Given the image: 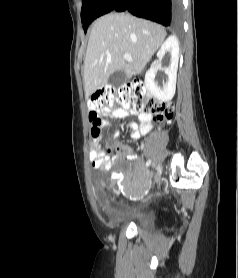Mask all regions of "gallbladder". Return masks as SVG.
Here are the masks:
<instances>
[{
  "label": "gallbladder",
  "instance_id": "bac80fb5",
  "mask_svg": "<svg viewBox=\"0 0 238 278\" xmlns=\"http://www.w3.org/2000/svg\"><path fill=\"white\" fill-rule=\"evenodd\" d=\"M126 80L125 72L124 70H118L111 74V76L108 79V82L110 85L114 87L121 86Z\"/></svg>",
  "mask_w": 238,
  "mask_h": 278
}]
</instances>
